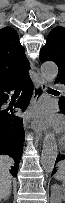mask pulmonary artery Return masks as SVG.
Instances as JSON below:
<instances>
[{
  "label": "pulmonary artery",
  "mask_w": 65,
  "mask_h": 203,
  "mask_svg": "<svg viewBox=\"0 0 65 203\" xmlns=\"http://www.w3.org/2000/svg\"><path fill=\"white\" fill-rule=\"evenodd\" d=\"M55 87H61V85L60 84H56Z\"/></svg>",
  "instance_id": "pulmonary-artery-1"
}]
</instances>
